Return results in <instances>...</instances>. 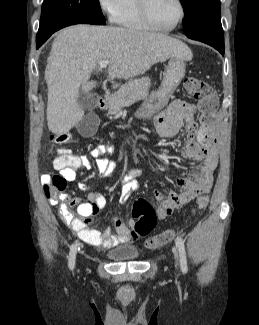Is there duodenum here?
Masks as SVG:
<instances>
[{
    "mask_svg": "<svg viewBox=\"0 0 259 325\" xmlns=\"http://www.w3.org/2000/svg\"><path fill=\"white\" fill-rule=\"evenodd\" d=\"M98 107H99L100 109H106V108H107V101H106L105 98L100 97V98L98 99Z\"/></svg>",
    "mask_w": 259,
    "mask_h": 325,
    "instance_id": "410a0bca",
    "label": "duodenum"
}]
</instances>
